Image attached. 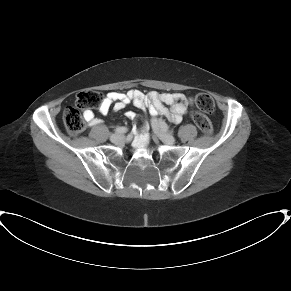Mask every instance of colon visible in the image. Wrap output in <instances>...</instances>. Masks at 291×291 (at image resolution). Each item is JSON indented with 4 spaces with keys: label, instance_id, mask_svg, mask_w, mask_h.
<instances>
[{
    "label": "colon",
    "instance_id": "colon-1",
    "mask_svg": "<svg viewBox=\"0 0 291 291\" xmlns=\"http://www.w3.org/2000/svg\"><path fill=\"white\" fill-rule=\"evenodd\" d=\"M103 100L102 93L97 90L87 89L80 91L75 100V105L68 107L63 112V124L71 135L80 133L85 126L83 114L81 111L98 108ZM197 106L204 112L211 113L215 109V103L211 95L199 93L196 96ZM196 124L204 134H211L212 124L210 120L202 113H195Z\"/></svg>",
    "mask_w": 291,
    "mask_h": 291
}]
</instances>
